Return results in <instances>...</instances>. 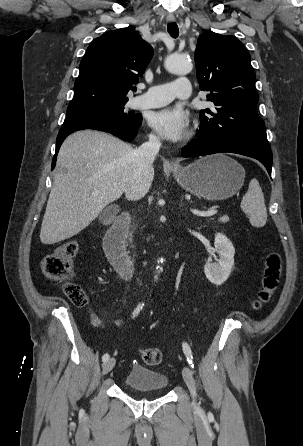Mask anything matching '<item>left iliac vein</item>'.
Here are the masks:
<instances>
[{
  "label": "left iliac vein",
  "mask_w": 303,
  "mask_h": 446,
  "mask_svg": "<svg viewBox=\"0 0 303 446\" xmlns=\"http://www.w3.org/2000/svg\"><path fill=\"white\" fill-rule=\"evenodd\" d=\"M182 376H183V379H184L187 387L189 388L193 402L196 403V398H197L196 386H195L192 372L189 367H187V366L183 367Z\"/></svg>",
  "instance_id": "1"
}]
</instances>
